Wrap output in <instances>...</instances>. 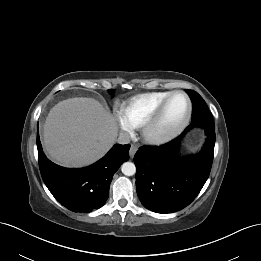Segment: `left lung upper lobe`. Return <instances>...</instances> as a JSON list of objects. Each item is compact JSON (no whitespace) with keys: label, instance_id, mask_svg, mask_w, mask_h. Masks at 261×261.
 Instances as JSON below:
<instances>
[{"label":"left lung upper lobe","instance_id":"left-lung-upper-lobe-1","mask_svg":"<svg viewBox=\"0 0 261 261\" xmlns=\"http://www.w3.org/2000/svg\"><path fill=\"white\" fill-rule=\"evenodd\" d=\"M190 96L193 109L191 124H214L213 117L203 98L193 90H185Z\"/></svg>","mask_w":261,"mask_h":261}]
</instances>
